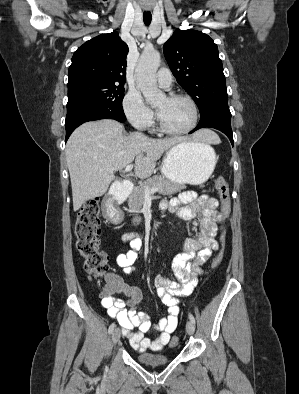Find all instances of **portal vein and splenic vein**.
Wrapping results in <instances>:
<instances>
[{"label": "portal vein and splenic vein", "mask_w": 299, "mask_h": 394, "mask_svg": "<svg viewBox=\"0 0 299 394\" xmlns=\"http://www.w3.org/2000/svg\"><path fill=\"white\" fill-rule=\"evenodd\" d=\"M133 169V165L129 164L125 167V172H130ZM159 190V188L155 187V188H146L145 189V196L150 197L152 194H154L155 192H157Z\"/></svg>", "instance_id": "18ae733b"}]
</instances>
